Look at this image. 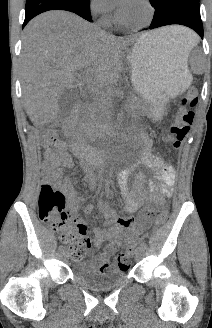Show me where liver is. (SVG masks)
<instances>
[{
    "label": "liver",
    "instance_id": "6515ba94",
    "mask_svg": "<svg viewBox=\"0 0 212 328\" xmlns=\"http://www.w3.org/2000/svg\"><path fill=\"white\" fill-rule=\"evenodd\" d=\"M186 34L187 29L170 26L140 38L167 40L182 48ZM133 42L66 11H48L32 19L24 29L20 62L23 102L31 122L43 126L58 118L59 98L73 88L81 69H90L84 83L96 94L116 83L124 50Z\"/></svg>",
    "mask_w": 212,
    "mask_h": 328
}]
</instances>
